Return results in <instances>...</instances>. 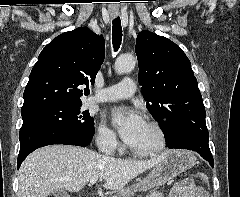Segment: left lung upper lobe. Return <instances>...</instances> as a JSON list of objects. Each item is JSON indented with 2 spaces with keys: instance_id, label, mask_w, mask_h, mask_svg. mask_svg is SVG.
<instances>
[{
  "instance_id": "5c2ea615",
  "label": "left lung upper lobe",
  "mask_w": 240,
  "mask_h": 197,
  "mask_svg": "<svg viewBox=\"0 0 240 197\" xmlns=\"http://www.w3.org/2000/svg\"><path fill=\"white\" fill-rule=\"evenodd\" d=\"M135 51L147 109L165 135L164 120L185 111L192 101H202L197 79L183 50L163 36L141 31Z\"/></svg>"
}]
</instances>
